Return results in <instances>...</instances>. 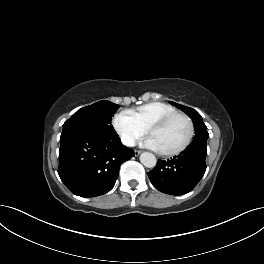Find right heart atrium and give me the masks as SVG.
Returning a JSON list of instances; mask_svg holds the SVG:
<instances>
[{
    "label": "right heart atrium",
    "instance_id": "right-heart-atrium-1",
    "mask_svg": "<svg viewBox=\"0 0 264 264\" xmlns=\"http://www.w3.org/2000/svg\"><path fill=\"white\" fill-rule=\"evenodd\" d=\"M113 127L126 146H133L146 134V130L140 127L127 111H122L114 117Z\"/></svg>",
    "mask_w": 264,
    "mask_h": 264
}]
</instances>
